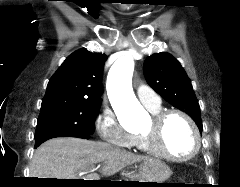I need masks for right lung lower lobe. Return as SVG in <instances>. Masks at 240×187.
Wrapping results in <instances>:
<instances>
[{
    "instance_id": "obj_1",
    "label": "right lung lower lobe",
    "mask_w": 240,
    "mask_h": 187,
    "mask_svg": "<svg viewBox=\"0 0 240 187\" xmlns=\"http://www.w3.org/2000/svg\"><path fill=\"white\" fill-rule=\"evenodd\" d=\"M55 137H69V136L62 135V134H55V135L45 136V137H43V138H40V139H37V140H36L35 148H37L38 146H40V145H41L43 142H45L46 140L51 139V138H55Z\"/></svg>"
}]
</instances>
